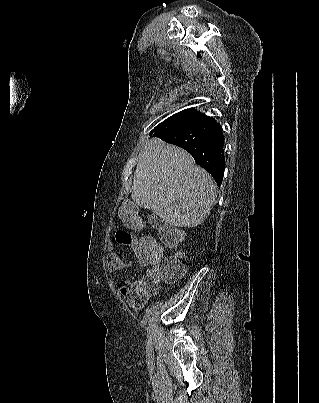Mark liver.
<instances>
[{"label":"liver","instance_id":"liver-1","mask_svg":"<svg viewBox=\"0 0 319 403\" xmlns=\"http://www.w3.org/2000/svg\"><path fill=\"white\" fill-rule=\"evenodd\" d=\"M216 196L211 175L189 153L158 138L146 142L132 184L137 205L172 226L195 227L208 217Z\"/></svg>","mask_w":319,"mask_h":403}]
</instances>
